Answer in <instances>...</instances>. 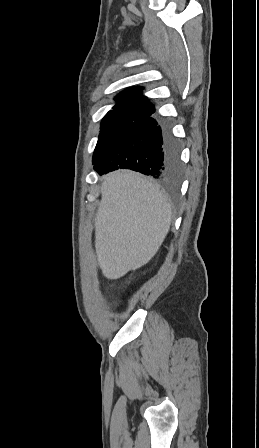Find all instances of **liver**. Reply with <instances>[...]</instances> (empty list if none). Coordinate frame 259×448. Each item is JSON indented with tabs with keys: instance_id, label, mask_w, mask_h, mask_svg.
<instances>
[{
	"instance_id": "1",
	"label": "liver",
	"mask_w": 259,
	"mask_h": 448,
	"mask_svg": "<svg viewBox=\"0 0 259 448\" xmlns=\"http://www.w3.org/2000/svg\"><path fill=\"white\" fill-rule=\"evenodd\" d=\"M95 218L97 264L108 280L148 264L171 224V206L158 184L131 170L103 176Z\"/></svg>"
}]
</instances>
